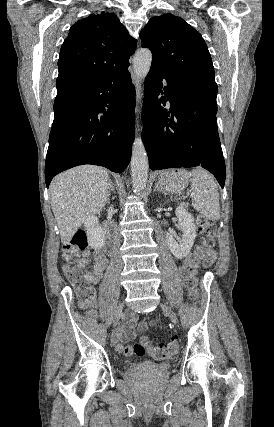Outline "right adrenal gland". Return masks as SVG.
<instances>
[{"label":"right adrenal gland","mask_w":274,"mask_h":427,"mask_svg":"<svg viewBox=\"0 0 274 427\" xmlns=\"http://www.w3.org/2000/svg\"><path fill=\"white\" fill-rule=\"evenodd\" d=\"M110 184H111L110 190H112V192H114V184H113V182H111V180H110Z\"/></svg>","instance_id":"2a0ac1e0"}]
</instances>
